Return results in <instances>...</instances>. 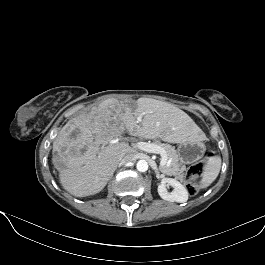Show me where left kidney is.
Here are the masks:
<instances>
[{
	"label": "left kidney",
	"instance_id": "left-kidney-1",
	"mask_svg": "<svg viewBox=\"0 0 265 265\" xmlns=\"http://www.w3.org/2000/svg\"><path fill=\"white\" fill-rule=\"evenodd\" d=\"M166 186L173 187V191L168 192ZM158 194L163 200L169 202L183 203L188 200L187 189L174 178H163L158 186Z\"/></svg>",
	"mask_w": 265,
	"mask_h": 265
}]
</instances>
